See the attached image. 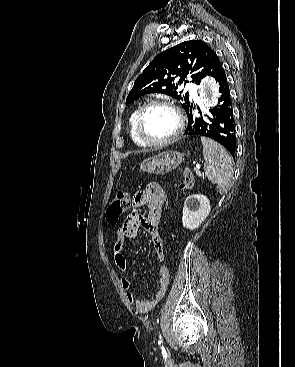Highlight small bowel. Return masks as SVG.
Segmentation results:
<instances>
[{
  "mask_svg": "<svg viewBox=\"0 0 295 367\" xmlns=\"http://www.w3.org/2000/svg\"><path fill=\"white\" fill-rule=\"evenodd\" d=\"M165 191L155 183H149L144 190L135 193L132 205L134 208L142 206L148 207L146 216L138 211H133L124 224L117 230L116 241L113 246V258L117 268L121 271L128 269V262L124 256V243L128 239L133 241L137 235L138 229L142 227L151 238V242L158 259L163 262L165 258V249L163 239L159 232V223L163 209V197ZM158 291L154 296H149L145 299L137 298L130 289V281L123 277L121 278V286L126 291V298L130 304L135 305V309L139 314L150 312L157 303L164 297L169 285V270L162 265L158 268Z\"/></svg>",
  "mask_w": 295,
  "mask_h": 367,
  "instance_id": "1",
  "label": "small bowel"
}]
</instances>
